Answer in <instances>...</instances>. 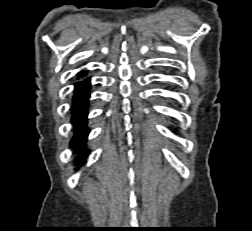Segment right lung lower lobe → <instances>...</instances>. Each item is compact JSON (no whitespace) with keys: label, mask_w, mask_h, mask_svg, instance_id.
<instances>
[{"label":"right lung lower lobe","mask_w":252,"mask_h":231,"mask_svg":"<svg viewBox=\"0 0 252 231\" xmlns=\"http://www.w3.org/2000/svg\"><path fill=\"white\" fill-rule=\"evenodd\" d=\"M90 79H85L75 84L73 104L71 107L72 123L74 124L75 134L71 140V146L79 152L77 158L78 167L85 163L87 152L83 149L85 139L90 130L86 126L88 115V99L90 98Z\"/></svg>","instance_id":"right-lung-lower-lobe-1"}]
</instances>
